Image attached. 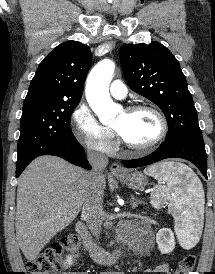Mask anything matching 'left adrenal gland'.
<instances>
[{
    "label": "left adrenal gland",
    "mask_w": 215,
    "mask_h": 274,
    "mask_svg": "<svg viewBox=\"0 0 215 274\" xmlns=\"http://www.w3.org/2000/svg\"><path fill=\"white\" fill-rule=\"evenodd\" d=\"M141 202L136 200L134 196H131L130 205L133 209H135Z\"/></svg>",
    "instance_id": "1"
}]
</instances>
